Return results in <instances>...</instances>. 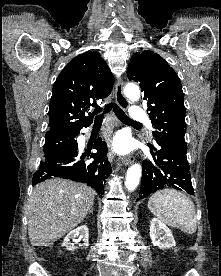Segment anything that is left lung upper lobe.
Instances as JSON below:
<instances>
[{
    "mask_svg": "<svg viewBox=\"0 0 221 276\" xmlns=\"http://www.w3.org/2000/svg\"><path fill=\"white\" fill-rule=\"evenodd\" d=\"M129 80L140 84L153 127L154 140H163L187 149L185 106L178 75L153 51L135 53L127 69Z\"/></svg>",
    "mask_w": 221,
    "mask_h": 276,
    "instance_id": "5c2ea615",
    "label": "left lung upper lobe"
}]
</instances>
